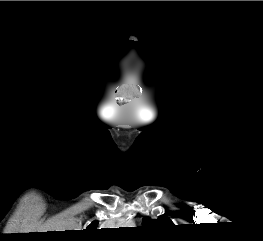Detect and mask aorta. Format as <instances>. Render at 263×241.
Segmentation results:
<instances>
[{
  "instance_id": "1",
  "label": "aorta",
  "mask_w": 263,
  "mask_h": 241,
  "mask_svg": "<svg viewBox=\"0 0 263 241\" xmlns=\"http://www.w3.org/2000/svg\"><path fill=\"white\" fill-rule=\"evenodd\" d=\"M132 223L131 222H126L125 225H131Z\"/></svg>"
}]
</instances>
